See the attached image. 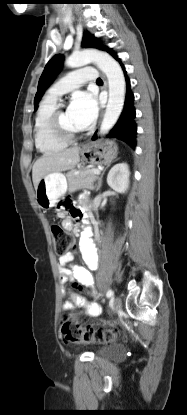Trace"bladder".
<instances>
[{"label": "bladder", "mask_w": 187, "mask_h": 415, "mask_svg": "<svg viewBox=\"0 0 187 415\" xmlns=\"http://www.w3.org/2000/svg\"><path fill=\"white\" fill-rule=\"evenodd\" d=\"M124 346L119 343H111L96 351V356L105 359H118L124 356Z\"/></svg>", "instance_id": "obj_1"}]
</instances>
